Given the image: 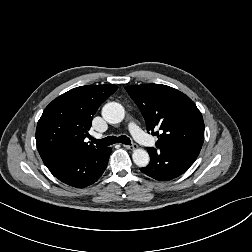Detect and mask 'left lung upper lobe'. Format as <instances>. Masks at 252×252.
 <instances>
[{"label": "left lung upper lobe", "mask_w": 252, "mask_h": 252, "mask_svg": "<svg viewBox=\"0 0 252 252\" xmlns=\"http://www.w3.org/2000/svg\"><path fill=\"white\" fill-rule=\"evenodd\" d=\"M126 91L139 107L148 132H155L159 149L200 153L204 122L195 103L182 92L161 84L130 85Z\"/></svg>", "instance_id": "1"}]
</instances>
